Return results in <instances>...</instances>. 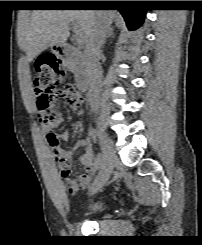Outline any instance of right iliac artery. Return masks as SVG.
Returning <instances> with one entry per match:
<instances>
[{
	"mask_svg": "<svg viewBox=\"0 0 202 245\" xmlns=\"http://www.w3.org/2000/svg\"><path fill=\"white\" fill-rule=\"evenodd\" d=\"M89 135L92 139L96 140L97 136H98V132L94 129H91L89 131ZM104 161V155L100 154L97 156L95 164L97 167H101Z\"/></svg>",
	"mask_w": 202,
	"mask_h": 245,
	"instance_id": "82829eb1",
	"label": "right iliac artery"
}]
</instances>
